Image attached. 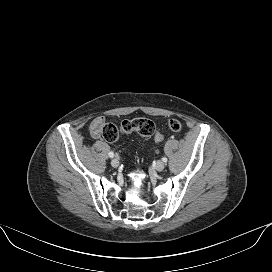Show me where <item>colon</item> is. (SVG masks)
<instances>
[{"instance_id": "1", "label": "colon", "mask_w": 272, "mask_h": 272, "mask_svg": "<svg viewBox=\"0 0 272 272\" xmlns=\"http://www.w3.org/2000/svg\"><path fill=\"white\" fill-rule=\"evenodd\" d=\"M167 127L172 132H178L181 130L182 124L178 119L172 118L168 121ZM132 132L143 137H153L157 142L164 139V135L157 131L154 122L142 117L124 120L120 126L108 123L102 129V137L108 142H115L122 135Z\"/></svg>"}]
</instances>
